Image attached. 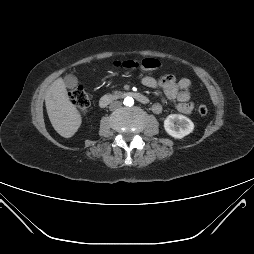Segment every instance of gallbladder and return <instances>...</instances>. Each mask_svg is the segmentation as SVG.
Listing matches in <instances>:
<instances>
[{"mask_svg":"<svg viewBox=\"0 0 254 254\" xmlns=\"http://www.w3.org/2000/svg\"><path fill=\"white\" fill-rule=\"evenodd\" d=\"M64 83L67 88L72 89L77 86L78 79L73 75H67L64 78Z\"/></svg>","mask_w":254,"mask_h":254,"instance_id":"bac80fb5","label":"gallbladder"}]
</instances>
